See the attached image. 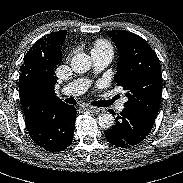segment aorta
Segmentation results:
<instances>
[{
    "instance_id": "obj_1",
    "label": "aorta",
    "mask_w": 183,
    "mask_h": 183,
    "mask_svg": "<svg viewBox=\"0 0 183 183\" xmlns=\"http://www.w3.org/2000/svg\"><path fill=\"white\" fill-rule=\"evenodd\" d=\"M92 64L89 55L85 53L76 54L71 60V68L75 73H86ZM98 124L103 129H109L114 125V117L111 113L106 112L98 117Z\"/></svg>"
}]
</instances>
